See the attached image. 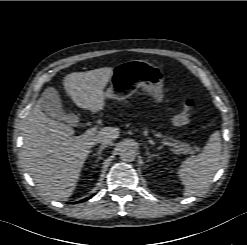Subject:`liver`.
Listing matches in <instances>:
<instances>
[{"mask_svg":"<svg viewBox=\"0 0 247 245\" xmlns=\"http://www.w3.org/2000/svg\"><path fill=\"white\" fill-rule=\"evenodd\" d=\"M112 73L111 67L73 72L64 78L63 86L76 106L102 111L104 89ZM119 132L116 127H104L94 137L74 136L71 126L48 118L38 101L24 122L22 160L41 192L66 201L75 190L90 149L102 139H117Z\"/></svg>","mask_w":247,"mask_h":245,"instance_id":"1","label":"liver"}]
</instances>
